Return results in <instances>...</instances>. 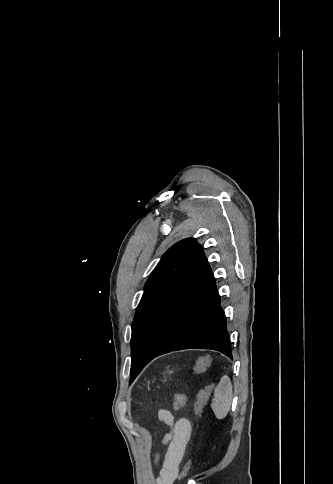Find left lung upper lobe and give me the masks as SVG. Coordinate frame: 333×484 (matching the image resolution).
<instances>
[{"instance_id": "obj_1", "label": "left lung upper lobe", "mask_w": 333, "mask_h": 484, "mask_svg": "<svg viewBox=\"0 0 333 484\" xmlns=\"http://www.w3.org/2000/svg\"><path fill=\"white\" fill-rule=\"evenodd\" d=\"M202 247L194 238L181 240L169 248L153 270L144 287V294L138 305L132 324L131 353H133L142 328L150 313L166 289L172 284L181 269L190 263L195 254L202 251ZM189 272L186 274L188 275ZM143 369L141 365L131 367L130 381Z\"/></svg>"}]
</instances>
